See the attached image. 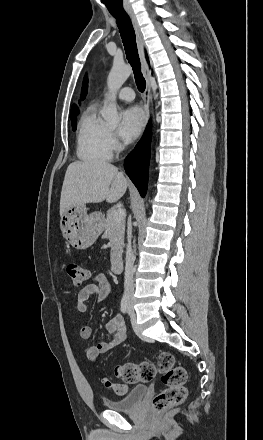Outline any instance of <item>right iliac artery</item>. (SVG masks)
<instances>
[{"mask_svg":"<svg viewBox=\"0 0 263 440\" xmlns=\"http://www.w3.org/2000/svg\"><path fill=\"white\" fill-rule=\"evenodd\" d=\"M120 309H121L122 313L127 314V312H128V299H127L126 294H124L122 297Z\"/></svg>","mask_w":263,"mask_h":440,"instance_id":"right-iliac-artery-1","label":"right iliac artery"}]
</instances>
